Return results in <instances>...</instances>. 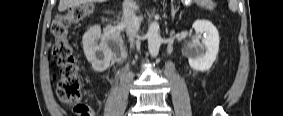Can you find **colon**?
Masks as SVG:
<instances>
[{
  "instance_id": "5ec220e1",
  "label": "colon",
  "mask_w": 283,
  "mask_h": 116,
  "mask_svg": "<svg viewBox=\"0 0 283 116\" xmlns=\"http://www.w3.org/2000/svg\"><path fill=\"white\" fill-rule=\"evenodd\" d=\"M92 12L91 1H82L57 16L52 23L51 30L56 39L53 55L60 68V75L56 82V93L58 98L66 104H76L82 96L78 69L74 61L72 47L68 41L69 30L73 25L90 16ZM74 111L80 116L91 115V109L86 105H76Z\"/></svg>"
}]
</instances>
